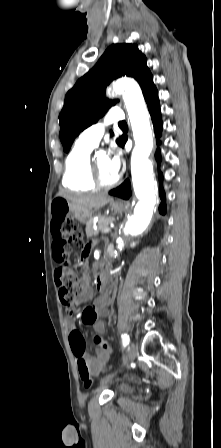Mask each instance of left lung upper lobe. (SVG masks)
Listing matches in <instances>:
<instances>
[{
    "label": "left lung upper lobe",
    "mask_w": 221,
    "mask_h": 448,
    "mask_svg": "<svg viewBox=\"0 0 221 448\" xmlns=\"http://www.w3.org/2000/svg\"><path fill=\"white\" fill-rule=\"evenodd\" d=\"M145 55L135 44H113L106 49L97 64L66 94L59 115L60 139L68 152L75 137L96 123L116 101L103 98L107 85L114 79L130 76L138 81L143 94L154 86ZM123 137L117 144L120 145Z\"/></svg>",
    "instance_id": "left-lung-upper-lobe-1"
}]
</instances>
